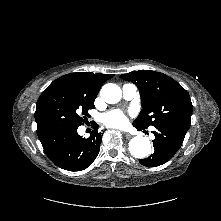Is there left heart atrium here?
Listing matches in <instances>:
<instances>
[{
    "label": "left heart atrium",
    "instance_id": "left-heart-atrium-1",
    "mask_svg": "<svg viewBox=\"0 0 221 221\" xmlns=\"http://www.w3.org/2000/svg\"><path fill=\"white\" fill-rule=\"evenodd\" d=\"M104 123L109 127H122L127 123V116L120 110H113L104 117Z\"/></svg>",
    "mask_w": 221,
    "mask_h": 221
}]
</instances>
